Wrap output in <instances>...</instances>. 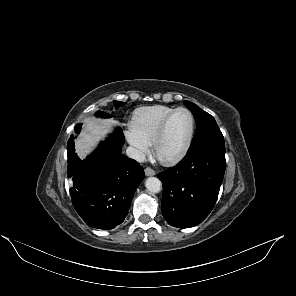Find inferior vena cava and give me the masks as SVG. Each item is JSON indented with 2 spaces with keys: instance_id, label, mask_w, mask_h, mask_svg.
Returning a JSON list of instances; mask_svg holds the SVG:
<instances>
[{
  "instance_id": "602c4592",
  "label": "inferior vena cava",
  "mask_w": 296,
  "mask_h": 296,
  "mask_svg": "<svg viewBox=\"0 0 296 296\" xmlns=\"http://www.w3.org/2000/svg\"><path fill=\"white\" fill-rule=\"evenodd\" d=\"M126 154L129 158L141 163L146 160L145 154L141 150L134 147H128L126 150Z\"/></svg>"
}]
</instances>
